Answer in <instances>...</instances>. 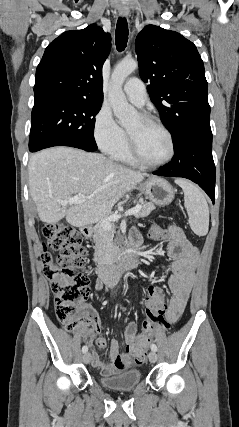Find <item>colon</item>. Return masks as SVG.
Listing matches in <instances>:
<instances>
[{"label":"colon","mask_w":239,"mask_h":427,"mask_svg":"<svg viewBox=\"0 0 239 427\" xmlns=\"http://www.w3.org/2000/svg\"><path fill=\"white\" fill-rule=\"evenodd\" d=\"M150 228L147 232L150 244H169L170 237L160 222H152ZM42 234L46 243L40 259L44 274L50 279L56 317L66 330L73 331L81 320L83 304L90 296V279L84 270L87 251L83 238L75 228L65 223L44 224ZM47 249L58 252L55 260ZM157 269L158 281H165V264L158 263ZM144 291L147 318L137 342L129 347L136 363L145 361L148 344L155 332L167 330L170 325L165 319L167 290L164 285L150 281Z\"/></svg>","instance_id":"1"}]
</instances>
